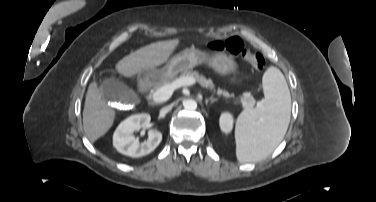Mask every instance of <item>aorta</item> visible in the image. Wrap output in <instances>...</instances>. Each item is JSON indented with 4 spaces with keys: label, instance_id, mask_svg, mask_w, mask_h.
<instances>
[{
    "label": "aorta",
    "instance_id": "aorta-1",
    "mask_svg": "<svg viewBox=\"0 0 376 202\" xmlns=\"http://www.w3.org/2000/svg\"><path fill=\"white\" fill-rule=\"evenodd\" d=\"M183 106L187 111H194L197 109V102L193 99L185 100Z\"/></svg>",
    "mask_w": 376,
    "mask_h": 202
}]
</instances>
